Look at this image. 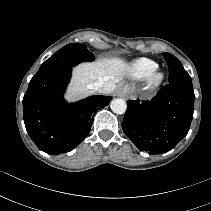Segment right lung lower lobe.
<instances>
[{"mask_svg": "<svg viewBox=\"0 0 211 211\" xmlns=\"http://www.w3.org/2000/svg\"><path fill=\"white\" fill-rule=\"evenodd\" d=\"M72 67L35 74L23 98L26 130L37 147L49 154L66 153L90 132L93 117L110 96H91L67 104L63 98Z\"/></svg>", "mask_w": 211, "mask_h": 211, "instance_id": "98d812e1", "label": "right lung lower lobe"}]
</instances>
